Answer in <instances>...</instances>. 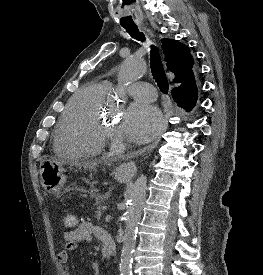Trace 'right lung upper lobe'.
<instances>
[{"label": "right lung upper lobe", "mask_w": 263, "mask_h": 275, "mask_svg": "<svg viewBox=\"0 0 263 275\" xmlns=\"http://www.w3.org/2000/svg\"><path fill=\"white\" fill-rule=\"evenodd\" d=\"M162 49L168 69L175 74L174 82L177 87L186 88L187 98L184 107L186 110H191L196 104L198 90L195 82H189V75L194 65L190 49L173 39H162Z\"/></svg>", "instance_id": "1"}]
</instances>
